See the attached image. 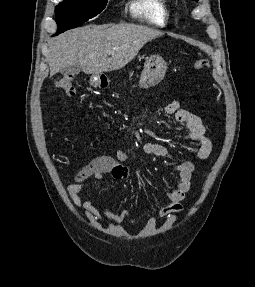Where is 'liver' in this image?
<instances>
[{
	"label": "liver",
	"mask_w": 255,
	"mask_h": 287,
	"mask_svg": "<svg viewBox=\"0 0 255 287\" xmlns=\"http://www.w3.org/2000/svg\"><path fill=\"white\" fill-rule=\"evenodd\" d=\"M157 36H163L162 32L136 24L84 26L68 30L48 42L50 76L68 66H80L84 74L121 70Z\"/></svg>",
	"instance_id": "6515ba94"
}]
</instances>
